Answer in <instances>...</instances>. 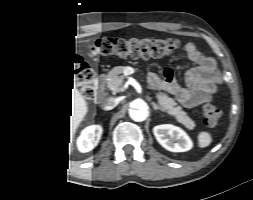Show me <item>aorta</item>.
<instances>
[{
  "label": "aorta",
  "instance_id": "aorta-1",
  "mask_svg": "<svg viewBox=\"0 0 253 200\" xmlns=\"http://www.w3.org/2000/svg\"><path fill=\"white\" fill-rule=\"evenodd\" d=\"M146 103L142 100H136L132 103V109L129 113L130 118L134 121L141 122L147 117Z\"/></svg>",
  "mask_w": 253,
  "mask_h": 200
}]
</instances>
